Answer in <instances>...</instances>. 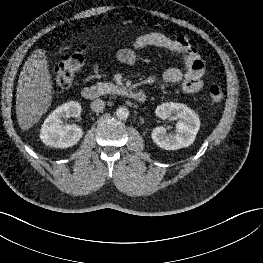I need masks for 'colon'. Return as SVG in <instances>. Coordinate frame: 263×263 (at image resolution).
<instances>
[{
    "instance_id": "1",
    "label": "colon",
    "mask_w": 263,
    "mask_h": 263,
    "mask_svg": "<svg viewBox=\"0 0 263 263\" xmlns=\"http://www.w3.org/2000/svg\"><path fill=\"white\" fill-rule=\"evenodd\" d=\"M85 45L79 46L72 52L66 54L55 66L52 77V88L56 92L67 89L72 83L76 74L81 70L84 63ZM224 98L221 87L213 85L208 91L210 106H218Z\"/></svg>"
}]
</instances>
